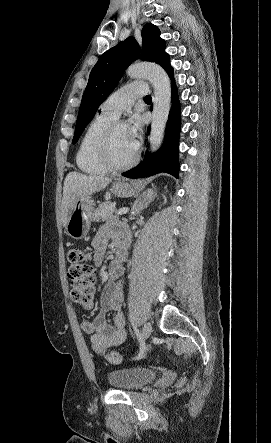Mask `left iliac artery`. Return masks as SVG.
Returning a JSON list of instances; mask_svg holds the SVG:
<instances>
[{
    "instance_id": "obj_1",
    "label": "left iliac artery",
    "mask_w": 271,
    "mask_h": 443,
    "mask_svg": "<svg viewBox=\"0 0 271 443\" xmlns=\"http://www.w3.org/2000/svg\"><path fill=\"white\" fill-rule=\"evenodd\" d=\"M129 319H130L131 325L133 327L134 333H135V335H136V337H137V339H138V341L140 343L139 354L136 357H134L133 359L139 360V359H141V358H143L145 356L146 344H145V341H144L141 333L139 332V329H137V326H136V324L134 322V317H133L132 313H130Z\"/></svg>"
}]
</instances>
